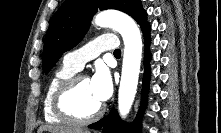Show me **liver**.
Wrapping results in <instances>:
<instances>
[{
    "instance_id": "6515ba94",
    "label": "liver",
    "mask_w": 221,
    "mask_h": 133,
    "mask_svg": "<svg viewBox=\"0 0 221 133\" xmlns=\"http://www.w3.org/2000/svg\"><path fill=\"white\" fill-rule=\"evenodd\" d=\"M43 131H49V133H90L86 129H75L71 127H60V126H41L38 129V133Z\"/></svg>"
}]
</instances>
